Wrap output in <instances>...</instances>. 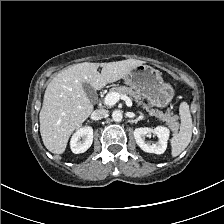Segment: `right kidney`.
<instances>
[{
  "mask_svg": "<svg viewBox=\"0 0 224 224\" xmlns=\"http://www.w3.org/2000/svg\"><path fill=\"white\" fill-rule=\"evenodd\" d=\"M93 142L92 127L78 129L71 138L70 147L73 153L79 154L87 151Z\"/></svg>",
  "mask_w": 224,
  "mask_h": 224,
  "instance_id": "obj_1",
  "label": "right kidney"
}]
</instances>
